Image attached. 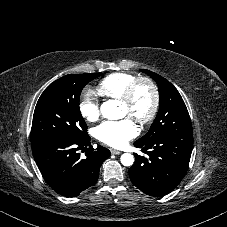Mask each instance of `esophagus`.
I'll use <instances>...</instances> for the list:
<instances>
[{
	"label": "esophagus",
	"mask_w": 227,
	"mask_h": 227,
	"mask_svg": "<svg viewBox=\"0 0 227 227\" xmlns=\"http://www.w3.org/2000/svg\"><path fill=\"white\" fill-rule=\"evenodd\" d=\"M110 151H111V153L112 154H115V155H119V154H121L122 152L121 151H118V150H115V149H110Z\"/></svg>",
	"instance_id": "obj_1"
}]
</instances>
